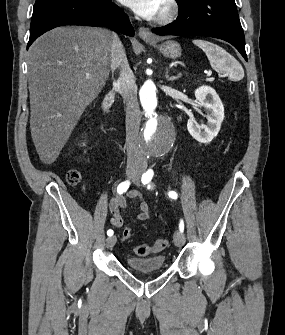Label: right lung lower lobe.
Returning a JSON list of instances; mask_svg holds the SVG:
<instances>
[{
  "label": "right lung lower lobe",
  "mask_w": 285,
  "mask_h": 335,
  "mask_svg": "<svg viewBox=\"0 0 285 335\" xmlns=\"http://www.w3.org/2000/svg\"><path fill=\"white\" fill-rule=\"evenodd\" d=\"M69 24L106 25L122 34L134 36L128 16L111 0H41L34 4L27 48L43 33Z\"/></svg>",
  "instance_id": "right-lung-lower-lobe-1"
}]
</instances>
